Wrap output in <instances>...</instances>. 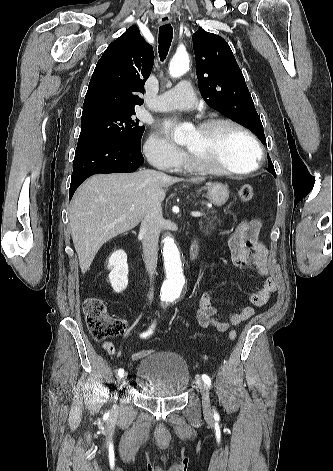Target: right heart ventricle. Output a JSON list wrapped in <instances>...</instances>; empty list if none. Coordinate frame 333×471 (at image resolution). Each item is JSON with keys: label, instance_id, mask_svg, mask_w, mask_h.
I'll return each instance as SVG.
<instances>
[{"label": "right heart ventricle", "instance_id": "e07e8e85", "mask_svg": "<svg viewBox=\"0 0 333 471\" xmlns=\"http://www.w3.org/2000/svg\"><path fill=\"white\" fill-rule=\"evenodd\" d=\"M184 167H185L186 170H189V171H202L201 169L195 167V166L192 165L191 163L185 164Z\"/></svg>", "mask_w": 333, "mask_h": 471}]
</instances>
